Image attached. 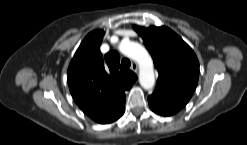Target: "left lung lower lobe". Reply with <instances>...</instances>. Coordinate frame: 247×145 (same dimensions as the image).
<instances>
[{
  "label": "left lung lower lobe",
  "instance_id": "obj_1",
  "mask_svg": "<svg viewBox=\"0 0 247 145\" xmlns=\"http://www.w3.org/2000/svg\"><path fill=\"white\" fill-rule=\"evenodd\" d=\"M189 98L173 93L161 87L148 96V103L153 112L161 116H171L181 110Z\"/></svg>",
  "mask_w": 247,
  "mask_h": 145
}]
</instances>
